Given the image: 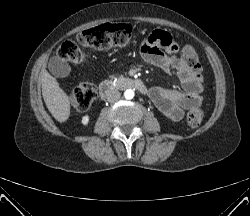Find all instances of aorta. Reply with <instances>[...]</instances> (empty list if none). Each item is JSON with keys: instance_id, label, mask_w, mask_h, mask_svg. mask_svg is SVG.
<instances>
[{"instance_id": "aorta-1", "label": "aorta", "mask_w": 250, "mask_h": 216, "mask_svg": "<svg viewBox=\"0 0 250 216\" xmlns=\"http://www.w3.org/2000/svg\"><path fill=\"white\" fill-rule=\"evenodd\" d=\"M124 96L126 99H132L134 97V91L132 89H127L124 92Z\"/></svg>"}]
</instances>
